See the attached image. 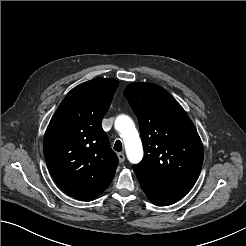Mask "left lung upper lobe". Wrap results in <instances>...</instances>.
I'll use <instances>...</instances> for the list:
<instances>
[{
  "instance_id": "left-lung-upper-lobe-1",
  "label": "left lung upper lobe",
  "mask_w": 246,
  "mask_h": 246,
  "mask_svg": "<svg viewBox=\"0 0 246 246\" xmlns=\"http://www.w3.org/2000/svg\"><path fill=\"white\" fill-rule=\"evenodd\" d=\"M124 95L138 118L144 148L143 160L133 165L137 177L188 192L203 163V146L194 124L156 84L132 83Z\"/></svg>"
}]
</instances>
